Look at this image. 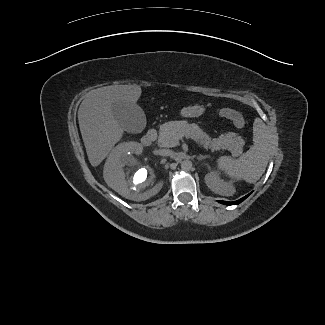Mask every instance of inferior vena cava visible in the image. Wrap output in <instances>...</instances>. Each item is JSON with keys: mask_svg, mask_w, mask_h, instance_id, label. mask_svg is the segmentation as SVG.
Here are the masks:
<instances>
[{"mask_svg": "<svg viewBox=\"0 0 325 325\" xmlns=\"http://www.w3.org/2000/svg\"><path fill=\"white\" fill-rule=\"evenodd\" d=\"M159 155L161 156H173V151L172 150H169V149H161L159 150Z\"/></svg>", "mask_w": 325, "mask_h": 325, "instance_id": "inferior-vena-cava-1", "label": "inferior vena cava"}]
</instances>
